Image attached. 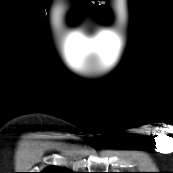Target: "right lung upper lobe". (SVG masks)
<instances>
[{"label": "right lung upper lobe", "mask_w": 173, "mask_h": 173, "mask_svg": "<svg viewBox=\"0 0 173 173\" xmlns=\"http://www.w3.org/2000/svg\"><path fill=\"white\" fill-rule=\"evenodd\" d=\"M41 173H73V172H70V171H68L66 169H62V168H58V167H55V166H51V167L46 168Z\"/></svg>", "instance_id": "cb5924a9"}]
</instances>
